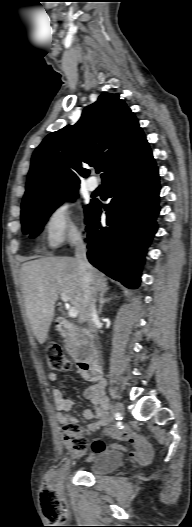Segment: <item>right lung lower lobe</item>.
<instances>
[{"instance_id": "98d812e1", "label": "right lung lower lobe", "mask_w": 192, "mask_h": 527, "mask_svg": "<svg viewBox=\"0 0 192 527\" xmlns=\"http://www.w3.org/2000/svg\"><path fill=\"white\" fill-rule=\"evenodd\" d=\"M111 202L92 201L86 212L87 257L128 288H136L159 212V175L147 141L103 180ZM102 209L107 220L100 222Z\"/></svg>"}]
</instances>
